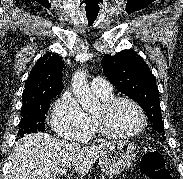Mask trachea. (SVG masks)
Returning a JSON list of instances; mask_svg holds the SVG:
<instances>
[{
  "mask_svg": "<svg viewBox=\"0 0 183 179\" xmlns=\"http://www.w3.org/2000/svg\"><path fill=\"white\" fill-rule=\"evenodd\" d=\"M97 15H98V12H92V13H86V16H87V19H88V24L91 26L94 21L96 20L97 18Z\"/></svg>",
  "mask_w": 183,
  "mask_h": 179,
  "instance_id": "obj_1",
  "label": "trachea"
}]
</instances>
